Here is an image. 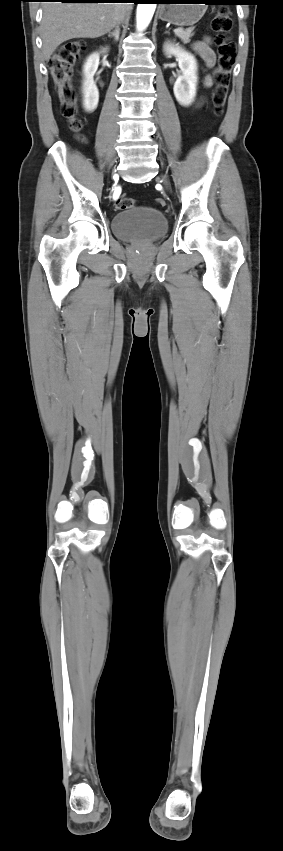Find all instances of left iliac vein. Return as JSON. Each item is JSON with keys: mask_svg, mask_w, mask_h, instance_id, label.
Listing matches in <instances>:
<instances>
[{"mask_svg": "<svg viewBox=\"0 0 283 851\" xmlns=\"http://www.w3.org/2000/svg\"><path fill=\"white\" fill-rule=\"evenodd\" d=\"M164 184H165L167 187H168V185H169V184H168V181H167L166 179H164Z\"/></svg>", "mask_w": 283, "mask_h": 851, "instance_id": "obj_1", "label": "left iliac vein"}]
</instances>
